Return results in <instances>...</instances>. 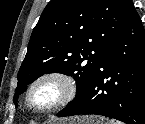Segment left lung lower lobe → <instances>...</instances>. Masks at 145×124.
Listing matches in <instances>:
<instances>
[{
	"label": "left lung lower lobe",
	"mask_w": 145,
	"mask_h": 124,
	"mask_svg": "<svg viewBox=\"0 0 145 124\" xmlns=\"http://www.w3.org/2000/svg\"><path fill=\"white\" fill-rule=\"evenodd\" d=\"M96 114L145 124V31L133 11L83 94L57 116Z\"/></svg>",
	"instance_id": "obj_1"
}]
</instances>
